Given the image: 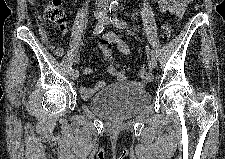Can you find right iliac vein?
Returning a JSON list of instances; mask_svg holds the SVG:
<instances>
[{
	"instance_id": "obj_1",
	"label": "right iliac vein",
	"mask_w": 225,
	"mask_h": 159,
	"mask_svg": "<svg viewBox=\"0 0 225 159\" xmlns=\"http://www.w3.org/2000/svg\"><path fill=\"white\" fill-rule=\"evenodd\" d=\"M95 17L98 19V20H101L102 18V11L98 10L96 13H95ZM71 79L72 80H77L79 74H78V71H73L71 72Z\"/></svg>"
}]
</instances>
